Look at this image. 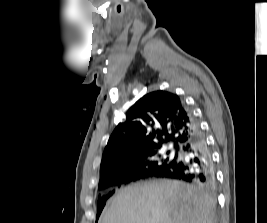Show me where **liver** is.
<instances>
[{
  "label": "liver",
  "instance_id": "liver-1",
  "mask_svg": "<svg viewBox=\"0 0 267 223\" xmlns=\"http://www.w3.org/2000/svg\"><path fill=\"white\" fill-rule=\"evenodd\" d=\"M215 201L195 186L150 180L119 191L101 223H214Z\"/></svg>",
  "mask_w": 267,
  "mask_h": 223
}]
</instances>
